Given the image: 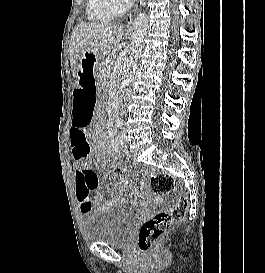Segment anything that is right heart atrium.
<instances>
[{
  "label": "right heart atrium",
  "mask_w": 265,
  "mask_h": 273,
  "mask_svg": "<svg viewBox=\"0 0 265 273\" xmlns=\"http://www.w3.org/2000/svg\"><path fill=\"white\" fill-rule=\"evenodd\" d=\"M105 5L115 14L125 12L133 0H103Z\"/></svg>",
  "instance_id": "right-heart-atrium-1"
}]
</instances>
